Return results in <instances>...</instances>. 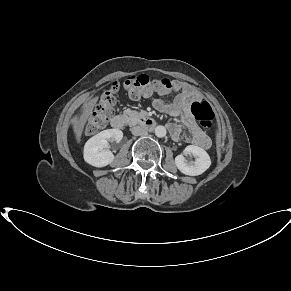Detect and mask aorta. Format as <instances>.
Returning <instances> with one entry per match:
<instances>
[{
    "label": "aorta",
    "instance_id": "1",
    "mask_svg": "<svg viewBox=\"0 0 291 291\" xmlns=\"http://www.w3.org/2000/svg\"><path fill=\"white\" fill-rule=\"evenodd\" d=\"M155 135L159 138H162L166 135V128L164 126H157L155 128Z\"/></svg>",
    "mask_w": 291,
    "mask_h": 291
}]
</instances>
